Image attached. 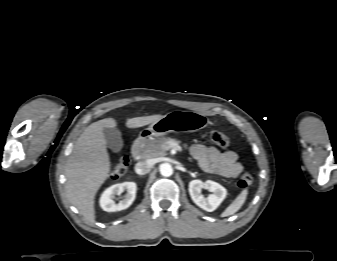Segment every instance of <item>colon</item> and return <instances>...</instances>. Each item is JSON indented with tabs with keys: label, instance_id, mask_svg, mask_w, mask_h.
<instances>
[{
	"label": "colon",
	"instance_id": "obj_1",
	"mask_svg": "<svg viewBox=\"0 0 337 261\" xmlns=\"http://www.w3.org/2000/svg\"><path fill=\"white\" fill-rule=\"evenodd\" d=\"M207 134L210 140L218 147L222 149H227L230 146V139L224 133L212 130L209 131ZM129 165H130V158L127 155L120 157L112 168L111 171L112 177L119 178L122 175H124ZM252 182H253L252 176L249 173L244 172L240 175L237 181V186L240 189H246L252 185Z\"/></svg>",
	"mask_w": 337,
	"mask_h": 261
}]
</instances>
